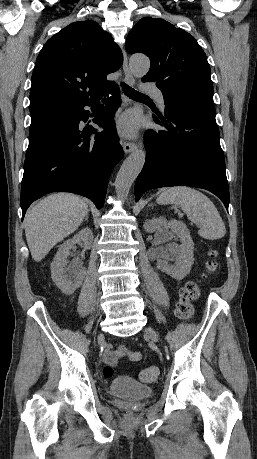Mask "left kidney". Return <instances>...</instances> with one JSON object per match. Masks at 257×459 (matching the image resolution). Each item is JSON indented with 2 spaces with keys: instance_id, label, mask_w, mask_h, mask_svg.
I'll return each instance as SVG.
<instances>
[{
  "instance_id": "left-kidney-1",
  "label": "left kidney",
  "mask_w": 257,
  "mask_h": 459,
  "mask_svg": "<svg viewBox=\"0 0 257 459\" xmlns=\"http://www.w3.org/2000/svg\"><path fill=\"white\" fill-rule=\"evenodd\" d=\"M144 229L148 233L155 232L159 243L166 242L171 235H176L180 239L181 245L159 246L156 251L158 267L172 278L182 280L194 263V243L187 226L175 219L157 217L145 222ZM173 259L176 260V264L170 265L168 261Z\"/></svg>"
}]
</instances>
